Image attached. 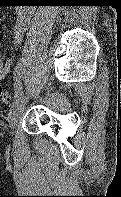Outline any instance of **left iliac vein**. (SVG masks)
<instances>
[{
	"instance_id": "4c4485c4",
	"label": "left iliac vein",
	"mask_w": 121,
	"mask_h": 197,
	"mask_svg": "<svg viewBox=\"0 0 121 197\" xmlns=\"http://www.w3.org/2000/svg\"><path fill=\"white\" fill-rule=\"evenodd\" d=\"M27 97H23L20 101V103L10 112L8 117V123L11 130V134L14 133V128L16 127V124L24 110V106L26 103Z\"/></svg>"
}]
</instances>
